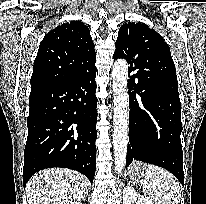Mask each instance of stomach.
<instances>
[{
    "label": "stomach",
    "mask_w": 206,
    "mask_h": 204,
    "mask_svg": "<svg viewBox=\"0 0 206 204\" xmlns=\"http://www.w3.org/2000/svg\"><path fill=\"white\" fill-rule=\"evenodd\" d=\"M146 166L142 162H134L129 171L131 180L140 183L144 179Z\"/></svg>",
    "instance_id": "1"
}]
</instances>
